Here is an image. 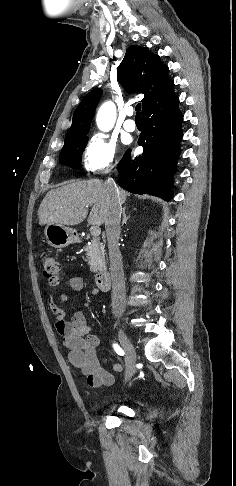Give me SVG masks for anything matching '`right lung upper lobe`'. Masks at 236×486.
<instances>
[{"instance_id": "obj_1", "label": "right lung upper lobe", "mask_w": 236, "mask_h": 486, "mask_svg": "<svg viewBox=\"0 0 236 486\" xmlns=\"http://www.w3.org/2000/svg\"><path fill=\"white\" fill-rule=\"evenodd\" d=\"M168 71L158 55L144 47L133 45L127 49L118 67V80L127 92L144 94L143 110L174 93V82L168 77ZM101 94L100 89H95L83 98L75 110L64 144L74 142L88 133Z\"/></svg>"}]
</instances>
